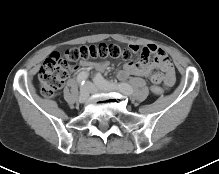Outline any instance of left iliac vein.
Masks as SVG:
<instances>
[{"mask_svg": "<svg viewBox=\"0 0 219 174\" xmlns=\"http://www.w3.org/2000/svg\"><path fill=\"white\" fill-rule=\"evenodd\" d=\"M87 86L90 89V92L93 93V94L97 93L99 91H112L113 90L112 88L95 85L91 82H88Z\"/></svg>", "mask_w": 219, "mask_h": 174, "instance_id": "4c4485c4", "label": "left iliac vein"}]
</instances>
